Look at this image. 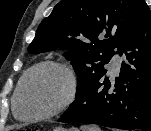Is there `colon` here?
I'll use <instances>...</instances> for the list:
<instances>
[{"label":"colon","instance_id":"obj_1","mask_svg":"<svg viewBox=\"0 0 151 131\" xmlns=\"http://www.w3.org/2000/svg\"><path fill=\"white\" fill-rule=\"evenodd\" d=\"M16 131H38L34 128H26V127H20Z\"/></svg>","mask_w":151,"mask_h":131}]
</instances>
